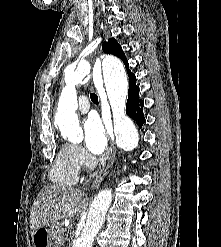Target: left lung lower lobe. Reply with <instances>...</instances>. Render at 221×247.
Instances as JSON below:
<instances>
[{
	"mask_svg": "<svg viewBox=\"0 0 221 247\" xmlns=\"http://www.w3.org/2000/svg\"><path fill=\"white\" fill-rule=\"evenodd\" d=\"M135 80V75L129 77V91L126 104V114L131 117L141 128L145 122V118L143 115L144 102L139 99V87L136 86Z\"/></svg>",
	"mask_w": 221,
	"mask_h": 247,
	"instance_id": "left-lung-lower-lobe-1",
	"label": "left lung lower lobe"
}]
</instances>
